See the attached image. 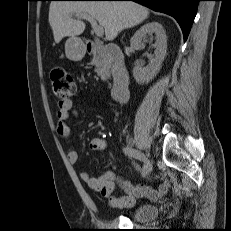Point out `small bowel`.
Here are the masks:
<instances>
[{"label": "small bowel", "instance_id": "c3829d8e", "mask_svg": "<svg viewBox=\"0 0 231 231\" xmlns=\"http://www.w3.org/2000/svg\"><path fill=\"white\" fill-rule=\"evenodd\" d=\"M72 112V101L61 100L58 102L57 110V133L64 139L71 138V131L68 125V118ZM77 114L76 111H73ZM89 148L92 151H102L106 148V140L101 137H94L89 142ZM67 159L71 164H77L79 154L74 149L67 150ZM80 178L87 186L102 196L109 198L110 205L117 208H126L133 206L138 200L147 198L149 200H157L162 198L169 189V183L164 182L157 189L146 185H132L130 182L119 178L112 171H105L98 177H92L86 171L79 173ZM117 184L124 191V195L115 196L114 191Z\"/></svg>", "mask_w": 231, "mask_h": 231}]
</instances>
